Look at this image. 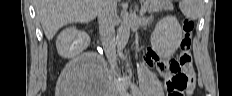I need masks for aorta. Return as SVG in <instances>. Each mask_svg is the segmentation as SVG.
<instances>
[{
    "mask_svg": "<svg viewBox=\"0 0 232 96\" xmlns=\"http://www.w3.org/2000/svg\"><path fill=\"white\" fill-rule=\"evenodd\" d=\"M130 36V22L128 21L127 17L123 18L116 37V45L119 54H121L122 50L125 48L126 44L128 43Z\"/></svg>",
    "mask_w": 232,
    "mask_h": 96,
    "instance_id": "aorta-1",
    "label": "aorta"
}]
</instances>
